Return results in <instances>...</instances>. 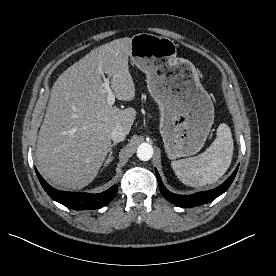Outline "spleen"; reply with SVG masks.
Segmentation results:
<instances>
[{"instance_id":"3e777b00","label":"spleen","mask_w":276,"mask_h":276,"mask_svg":"<svg viewBox=\"0 0 276 276\" xmlns=\"http://www.w3.org/2000/svg\"><path fill=\"white\" fill-rule=\"evenodd\" d=\"M233 138L229 126L222 123L217 137L205 152L198 156L171 163L176 176L185 185L200 187L220 179L229 168L233 156Z\"/></svg>"}]
</instances>
